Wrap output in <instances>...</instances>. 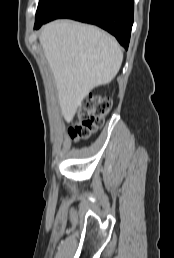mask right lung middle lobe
<instances>
[{
  "mask_svg": "<svg viewBox=\"0 0 174 258\" xmlns=\"http://www.w3.org/2000/svg\"><path fill=\"white\" fill-rule=\"evenodd\" d=\"M62 0H39L35 26L42 23L51 13V11L61 2ZM34 26V27H35Z\"/></svg>",
  "mask_w": 174,
  "mask_h": 258,
  "instance_id": "dd1d6c3e",
  "label": "right lung middle lobe"
}]
</instances>
